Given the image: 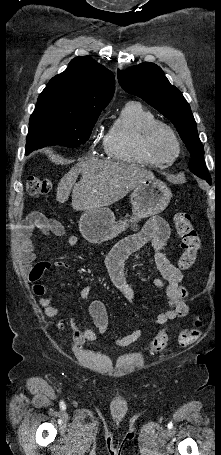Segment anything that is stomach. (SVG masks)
Listing matches in <instances>:
<instances>
[{
	"mask_svg": "<svg viewBox=\"0 0 221 455\" xmlns=\"http://www.w3.org/2000/svg\"><path fill=\"white\" fill-rule=\"evenodd\" d=\"M171 191L167 185L157 179H147L136 186L131 194L132 216L116 222L114 213L101 206L87 209L79 221L82 236L90 243L101 244L112 240L125 231L129 222L149 217L162 212L169 204Z\"/></svg>",
	"mask_w": 221,
	"mask_h": 455,
	"instance_id": "obj_1",
	"label": "stomach"
}]
</instances>
